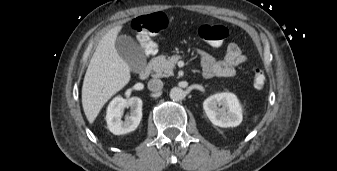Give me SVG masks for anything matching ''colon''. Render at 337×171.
Here are the masks:
<instances>
[{
	"instance_id": "5ec220e1",
	"label": "colon",
	"mask_w": 337,
	"mask_h": 171,
	"mask_svg": "<svg viewBox=\"0 0 337 171\" xmlns=\"http://www.w3.org/2000/svg\"><path fill=\"white\" fill-rule=\"evenodd\" d=\"M169 19L165 14L156 13L136 17L131 24L132 30L139 37L141 53L145 57H154L158 53V44L150 36L169 26ZM199 36L211 50L219 49L228 36V30L221 25L202 24L198 30ZM255 88L265 85L266 77L262 69L255 68L252 74Z\"/></svg>"
}]
</instances>
